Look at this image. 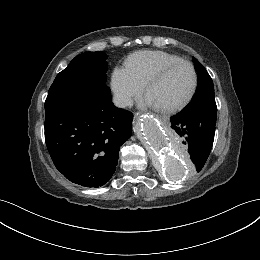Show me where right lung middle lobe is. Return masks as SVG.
<instances>
[{"label": "right lung middle lobe", "instance_id": "right-lung-middle-lobe-1", "mask_svg": "<svg viewBox=\"0 0 260 260\" xmlns=\"http://www.w3.org/2000/svg\"><path fill=\"white\" fill-rule=\"evenodd\" d=\"M107 55L85 52L77 55L55 78L46 102L65 96H82L106 82Z\"/></svg>", "mask_w": 260, "mask_h": 260}]
</instances>
